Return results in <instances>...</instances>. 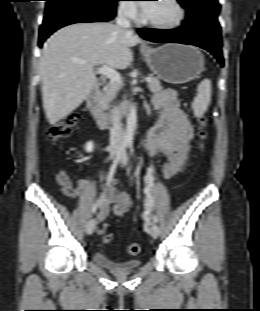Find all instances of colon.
I'll return each mask as SVG.
<instances>
[{
	"label": "colon",
	"instance_id": "obj_1",
	"mask_svg": "<svg viewBox=\"0 0 260 311\" xmlns=\"http://www.w3.org/2000/svg\"><path fill=\"white\" fill-rule=\"evenodd\" d=\"M79 124V116L77 114H71L67 116L60 122L55 124H51L48 126L46 130L47 139L49 141H57L65 136H67L74 128H76ZM198 124L200 130L198 132L199 142L198 146L200 149H203L205 146V139L207 137V132L205 130L207 119L204 116L198 118ZM108 225L104 224L100 232L103 234V242L110 243L113 240V235L111 233H107ZM127 251L130 255H137L140 252V246L137 243H132L128 246Z\"/></svg>",
	"mask_w": 260,
	"mask_h": 311
}]
</instances>
